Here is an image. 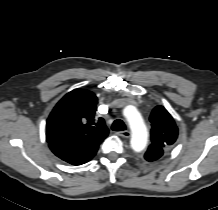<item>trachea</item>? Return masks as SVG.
I'll return each instance as SVG.
<instances>
[{
    "mask_svg": "<svg viewBox=\"0 0 218 210\" xmlns=\"http://www.w3.org/2000/svg\"><path fill=\"white\" fill-rule=\"evenodd\" d=\"M111 129L113 131H124L126 129V125L120 119H117L113 122Z\"/></svg>",
    "mask_w": 218,
    "mask_h": 210,
    "instance_id": "trachea-1",
    "label": "trachea"
}]
</instances>
